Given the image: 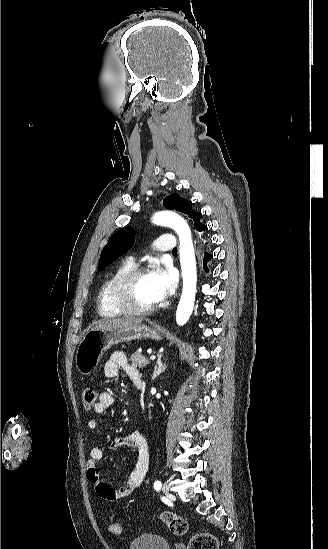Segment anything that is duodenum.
Returning <instances> with one entry per match:
<instances>
[{"instance_id": "obj_1", "label": "duodenum", "mask_w": 328, "mask_h": 549, "mask_svg": "<svg viewBox=\"0 0 328 549\" xmlns=\"http://www.w3.org/2000/svg\"><path fill=\"white\" fill-rule=\"evenodd\" d=\"M133 382L135 384V386L138 388V389H143L144 388V383L141 379L140 376H136L134 379H133Z\"/></svg>"}]
</instances>
